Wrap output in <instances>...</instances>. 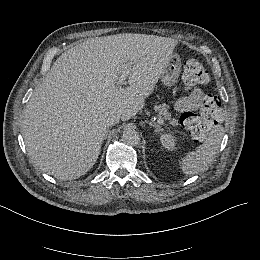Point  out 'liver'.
Wrapping results in <instances>:
<instances>
[{
  "label": "liver",
  "instance_id": "liver-1",
  "mask_svg": "<svg viewBox=\"0 0 260 260\" xmlns=\"http://www.w3.org/2000/svg\"><path fill=\"white\" fill-rule=\"evenodd\" d=\"M178 45L154 35L117 34L68 49L35 88L23 112L22 136L34 167L58 180L77 179L95 165L105 119L135 117ZM129 69V87L118 86Z\"/></svg>",
  "mask_w": 260,
  "mask_h": 260
}]
</instances>
